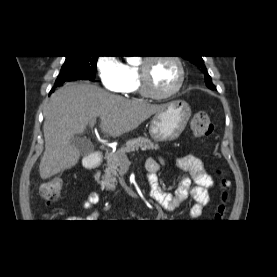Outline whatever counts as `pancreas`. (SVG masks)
Wrapping results in <instances>:
<instances>
[{
  "instance_id": "pancreas-1",
  "label": "pancreas",
  "mask_w": 277,
  "mask_h": 277,
  "mask_svg": "<svg viewBox=\"0 0 277 277\" xmlns=\"http://www.w3.org/2000/svg\"><path fill=\"white\" fill-rule=\"evenodd\" d=\"M141 150H157L158 144H154L150 139L139 137L129 140L125 147L117 152L107 156L106 168L102 180H99V173L95 175V179L100 183L102 188L106 190H115L119 167L128 159L127 153Z\"/></svg>"
}]
</instances>
